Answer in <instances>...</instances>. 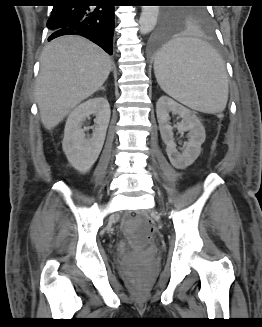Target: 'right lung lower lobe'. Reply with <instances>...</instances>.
I'll use <instances>...</instances> for the list:
<instances>
[{
	"label": "right lung lower lobe",
	"mask_w": 262,
	"mask_h": 327,
	"mask_svg": "<svg viewBox=\"0 0 262 327\" xmlns=\"http://www.w3.org/2000/svg\"><path fill=\"white\" fill-rule=\"evenodd\" d=\"M59 3L53 6L47 22L51 33L48 41L61 35H81L112 54L114 6H87L80 0H59Z\"/></svg>",
	"instance_id": "right-lung-lower-lobe-1"
}]
</instances>
